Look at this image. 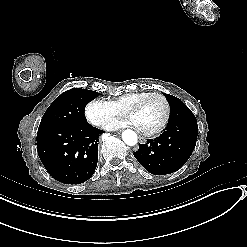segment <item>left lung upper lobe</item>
I'll return each instance as SVG.
<instances>
[{
	"label": "left lung upper lobe",
	"mask_w": 247,
	"mask_h": 247,
	"mask_svg": "<svg viewBox=\"0 0 247 247\" xmlns=\"http://www.w3.org/2000/svg\"><path fill=\"white\" fill-rule=\"evenodd\" d=\"M167 98L170 108V120L168 124H174L179 121H197L192 111L178 98L165 94Z\"/></svg>",
	"instance_id": "left-lung-upper-lobe-1"
}]
</instances>
